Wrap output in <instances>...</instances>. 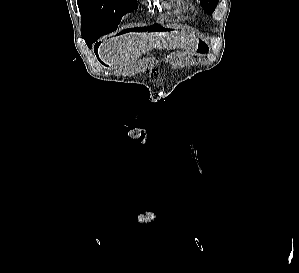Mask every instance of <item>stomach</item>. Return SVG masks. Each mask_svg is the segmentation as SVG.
Listing matches in <instances>:
<instances>
[{
  "instance_id": "obj_1",
  "label": "stomach",
  "mask_w": 299,
  "mask_h": 273,
  "mask_svg": "<svg viewBox=\"0 0 299 273\" xmlns=\"http://www.w3.org/2000/svg\"><path fill=\"white\" fill-rule=\"evenodd\" d=\"M196 47L199 49V52H206L208 50L206 43L202 40L196 42Z\"/></svg>"
}]
</instances>
